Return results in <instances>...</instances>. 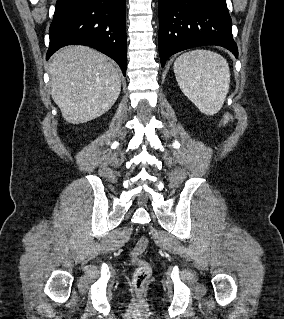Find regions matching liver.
Segmentation results:
<instances>
[{"instance_id":"liver-1","label":"liver","mask_w":284,"mask_h":319,"mask_svg":"<svg viewBox=\"0 0 284 319\" xmlns=\"http://www.w3.org/2000/svg\"><path fill=\"white\" fill-rule=\"evenodd\" d=\"M51 95L63 118L72 124L107 112L121 90L118 66L104 54L72 45L56 52L50 63Z\"/></svg>"}]
</instances>
